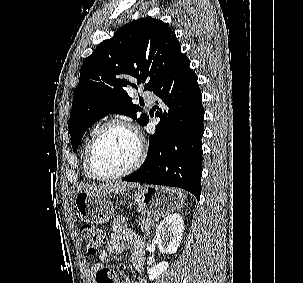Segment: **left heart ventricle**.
I'll list each match as a JSON object with an SVG mask.
<instances>
[{"label": "left heart ventricle", "instance_id": "obj_1", "mask_svg": "<svg viewBox=\"0 0 303 283\" xmlns=\"http://www.w3.org/2000/svg\"><path fill=\"white\" fill-rule=\"evenodd\" d=\"M138 152L134 135L121 126L106 129L99 138L94 162L103 174H112L126 169L132 164Z\"/></svg>", "mask_w": 303, "mask_h": 283}]
</instances>
